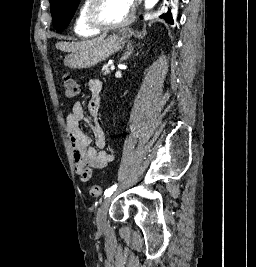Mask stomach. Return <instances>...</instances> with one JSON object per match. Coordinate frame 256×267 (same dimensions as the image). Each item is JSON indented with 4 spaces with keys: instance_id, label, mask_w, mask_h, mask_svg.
<instances>
[{
    "instance_id": "1",
    "label": "stomach",
    "mask_w": 256,
    "mask_h": 267,
    "mask_svg": "<svg viewBox=\"0 0 256 267\" xmlns=\"http://www.w3.org/2000/svg\"><path fill=\"white\" fill-rule=\"evenodd\" d=\"M129 38L130 34L127 30H119L116 34L104 38L100 44L86 46L83 52H75V54L67 56L65 67L91 68V66H96L99 62H103V60L112 56V54L119 52L124 44H127Z\"/></svg>"
}]
</instances>
